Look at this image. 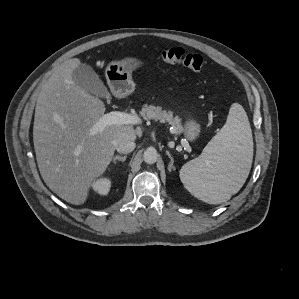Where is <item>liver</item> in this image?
I'll list each match as a JSON object with an SVG mask.
<instances>
[{"label":"liver","mask_w":299,"mask_h":299,"mask_svg":"<svg viewBox=\"0 0 299 299\" xmlns=\"http://www.w3.org/2000/svg\"><path fill=\"white\" fill-rule=\"evenodd\" d=\"M81 64L63 62L42 87L33 126L36 160L51 191L74 205L86 202L89 190L112 161L117 144L136 139L133 125H108L92 134L105 105L72 79Z\"/></svg>","instance_id":"liver-1"}]
</instances>
